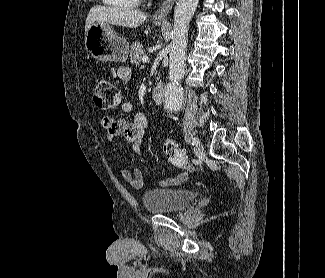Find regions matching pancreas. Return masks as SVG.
Listing matches in <instances>:
<instances>
[{
    "label": "pancreas",
    "instance_id": "1",
    "mask_svg": "<svg viewBox=\"0 0 325 278\" xmlns=\"http://www.w3.org/2000/svg\"><path fill=\"white\" fill-rule=\"evenodd\" d=\"M145 55L142 44L135 42L130 49V61L132 64L139 66L142 57Z\"/></svg>",
    "mask_w": 325,
    "mask_h": 278
}]
</instances>
